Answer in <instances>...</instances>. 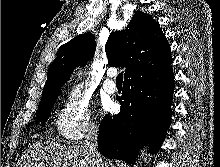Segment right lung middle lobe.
<instances>
[{"mask_svg": "<svg viewBox=\"0 0 220 167\" xmlns=\"http://www.w3.org/2000/svg\"><path fill=\"white\" fill-rule=\"evenodd\" d=\"M59 94H60V91L40 102L39 112L37 115V122L44 123L48 120L52 107Z\"/></svg>", "mask_w": 220, "mask_h": 167, "instance_id": "1", "label": "right lung middle lobe"}]
</instances>
